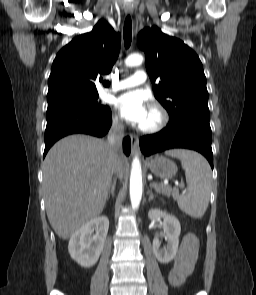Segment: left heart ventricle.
<instances>
[{
	"mask_svg": "<svg viewBox=\"0 0 256 295\" xmlns=\"http://www.w3.org/2000/svg\"><path fill=\"white\" fill-rule=\"evenodd\" d=\"M155 121V115L150 111L143 125H150Z\"/></svg>",
	"mask_w": 256,
	"mask_h": 295,
	"instance_id": "obj_1",
	"label": "left heart ventricle"
}]
</instances>
